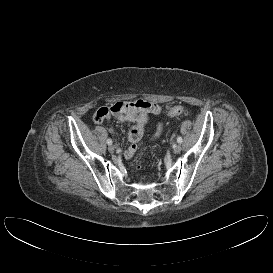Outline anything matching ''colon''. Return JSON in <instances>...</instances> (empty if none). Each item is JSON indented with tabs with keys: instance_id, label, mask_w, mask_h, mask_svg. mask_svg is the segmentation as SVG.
<instances>
[{
	"instance_id": "5ec220e1",
	"label": "colon",
	"mask_w": 273,
	"mask_h": 273,
	"mask_svg": "<svg viewBox=\"0 0 273 273\" xmlns=\"http://www.w3.org/2000/svg\"><path fill=\"white\" fill-rule=\"evenodd\" d=\"M187 113V109L181 105H175L167 108V115L170 117L186 115Z\"/></svg>"
}]
</instances>
